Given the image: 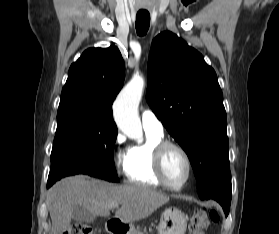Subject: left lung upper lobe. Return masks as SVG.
<instances>
[{
  "label": "left lung upper lobe",
  "mask_w": 279,
  "mask_h": 234,
  "mask_svg": "<svg viewBox=\"0 0 279 234\" xmlns=\"http://www.w3.org/2000/svg\"><path fill=\"white\" fill-rule=\"evenodd\" d=\"M147 71V101L187 153L199 197L216 200L227 216L232 192L229 143L215 71L197 50L169 31L154 38Z\"/></svg>",
  "instance_id": "5c2ea615"
}]
</instances>
